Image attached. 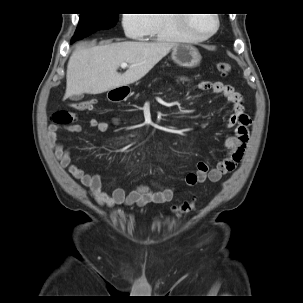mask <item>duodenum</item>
<instances>
[{"instance_id":"1","label":"duodenum","mask_w":303,"mask_h":303,"mask_svg":"<svg viewBox=\"0 0 303 303\" xmlns=\"http://www.w3.org/2000/svg\"><path fill=\"white\" fill-rule=\"evenodd\" d=\"M125 96H126V93L121 90H114V91L110 92V97L113 100L120 101V100L124 99Z\"/></svg>"}]
</instances>
